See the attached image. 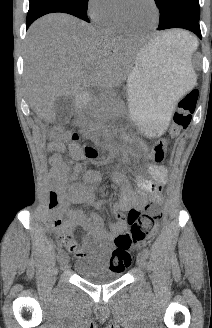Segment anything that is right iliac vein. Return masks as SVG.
I'll use <instances>...</instances> for the list:
<instances>
[{
    "label": "right iliac vein",
    "mask_w": 212,
    "mask_h": 328,
    "mask_svg": "<svg viewBox=\"0 0 212 328\" xmlns=\"http://www.w3.org/2000/svg\"><path fill=\"white\" fill-rule=\"evenodd\" d=\"M60 267H61V270L67 269L68 261H67L66 257H63V259L60 261Z\"/></svg>",
    "instance_id": "63e3f726"
}]
</instances>
